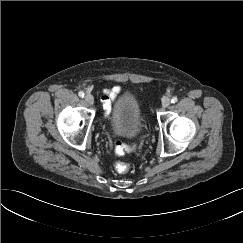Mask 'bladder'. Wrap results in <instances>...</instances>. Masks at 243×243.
<instances>
[{
    "mask_svg": "<svg viewBox=\"0 0 243 243\" xmlns=\"http://www.w3.org/2000/svg\"><path fill=\"white\" fill-rule=\"evenodd\" d=\"M110 121L114 132L121 137H134L142 127L143 119L140 104L136 96L126 92L114 102Z\"/></svg>",
    "mask_w": 243,
    "mask_h": 243,
    "instance_id": "bladder-1",
    "label": "bladder"
}]
</instances>
